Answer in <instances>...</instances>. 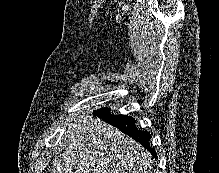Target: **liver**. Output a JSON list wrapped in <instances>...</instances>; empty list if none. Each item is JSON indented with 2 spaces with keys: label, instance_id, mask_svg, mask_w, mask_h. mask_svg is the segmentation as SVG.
<instances>
[{
  "label": "liver",
  "instance_id": "6515ba94",
  "mask_svg": "<svg viewBox=\"0 0 219 173\" xmlns=\"http://www.w3.org/2000/svg\"><path fill=\"white\" fill-rule=\"evenodd\" d=\"M57 149L52 173H158L145 148L83 112L72 116Z\"/></svg>",
  "mask_w": 219,
  "mask_h": 173
}]
</instances>
